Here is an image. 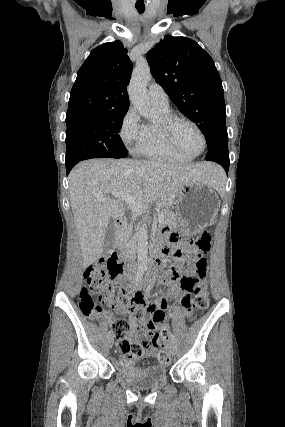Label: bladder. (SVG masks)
<instances>
[{
	"instance_id": "31cf9c89",
	"label": "bladder",
	"mask_w": 285,
	"mask_h": 427,
	"mask_svg": "<svg viewBox=\"0 0 285 427\" xmlns=\"http://www.w3.org/2000/svg\"><path fill=\"white\" fill-rule=\"evenodd\" d=\"M115 372L125 381L139 388L157 385L166 378V369L161 365L132 364L123 368L116 367Z\"/></svg>"
}]
</instances>
